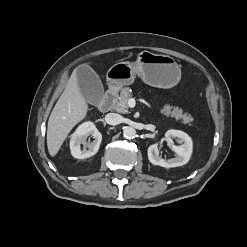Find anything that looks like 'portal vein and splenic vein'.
<instances>
[{"label":"portal vein and splenic vein","mask_w":247,"mask_h":247,"mask_svg":"<svg viewBox=\"0 0 247 247\" xmlns=\"http://www.w3.org/2000/svg\"><path fill=\"white\" fill-rule=\"evenodd\" d=\"M128 105H129L130 107H134V106H135V100H134L133 98H130V99L128 100Z\"/></svg>","instance_id":"portal-vein-and-splenic-vein-1"}]
</instances>
